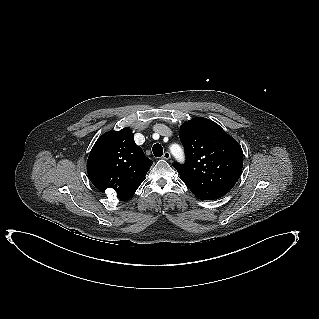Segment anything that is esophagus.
Returning <instances> with one entry per match:
<instances>
[{"label": "esophagus", "mask_w": 319, "mask_h": 319, "mask_svg": "<svg viewBox=\"0 0 319 319\" xmlns=\"http://www.w3.org/2000/svg\"><path fill=\"white\" fill-rule=\"evenodd\" d=\"M162 157H163V159L168 160V159H170L171 154H170V152L166 151V152H164Z\"/></svg>", "instance_id": "34e87169"}]
</instances>
